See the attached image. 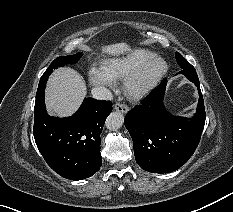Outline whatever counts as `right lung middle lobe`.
Returning <instances> with one entry per match:
<instances>
[{"label":"right lung middle lobe","instance_id":"dd1d6c3e","mask_svg":"<svg viewBox=\"0 0 233 212\" xmlns=\"http://www.w3.org/2000/svg\"><path fill=\"white\" fill-rule=\"evenodd\" d=\"M81 57V53H77L75 55H71V56H60L58 58H56L51 65L48 67V69L45 71V73L42 75L40 82H39V86H38V90L37 92L40 91V88L42 87L41 85L46 83L48 76L53 72L54 69H56L57 67H61L64 64H71V63H75L78 61V59Z\"/></svg>","mask_w":233,"mask_h":212}]
</instances>
